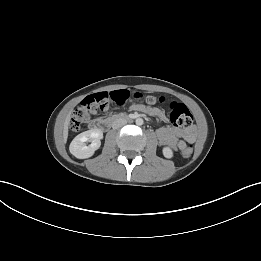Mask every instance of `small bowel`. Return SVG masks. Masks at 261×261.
<instances>
[{
    "instance_id": "c3829d8e",
    "label": "small bowel",
    "mask_w": 261,
    "mask_h": 261,
    "mask_svg": "<svg viewBox=\"0 0 261 261\" xmlns=\"http://www.w3.org/2000/svg\"><path fill=\"white\" fill-rule=\"evenodd\" d=\"M137 110L161 120H167L166 115L159 108L139 106L137 107ZM157 137L162 146L176 150L177 148L181 149L186 142L194 141L196 134L194 129L184 130L175 126H167L157 130Z\"/></svg>"
}]
</instances>
